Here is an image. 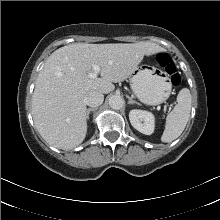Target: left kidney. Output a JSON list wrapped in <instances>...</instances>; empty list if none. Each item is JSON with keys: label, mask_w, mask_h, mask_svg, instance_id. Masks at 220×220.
Returning <instances> with one entry per match:
<instances>
[{"label": "left kidney", "mask_w": 220, "mask_h": 220, "mask_svg": "<svg viewBox=\"0 0 220 220\" xmlns=\"http://www.w3.org/2000/svg\"><path fill=\"white\" fill-rule=\"evenodd\" d=\"M131 125L145 135H151L155 128V117L151 112L133 109L129 113Z\"/></svg>", "instance_id": "left-kidney-1"}]
</instances>
